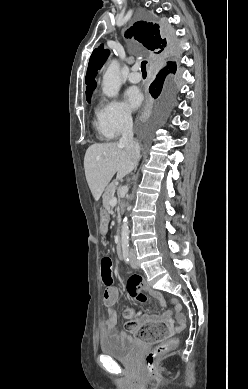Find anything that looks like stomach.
<instances>
[{
	"label": "stomach",
	"instance_id": "obj_1",
	"mask_svg": "<svg viewBox=\"0 0 248 389\" xmlns=\"http://www.w3.org/2000/svg\"><path fill=\"white\" fill-rule=\"evenodd\" d=\"M100 212L102 213L101 215V220H100V229H99V234L100 235H106L107 234V224H108V221L110 218H111V215L108 213V208L107 207H102L100 209Z\"/></svg>",
	"mask_w": 248,
	"mask_h": 389
}]
</instances>
